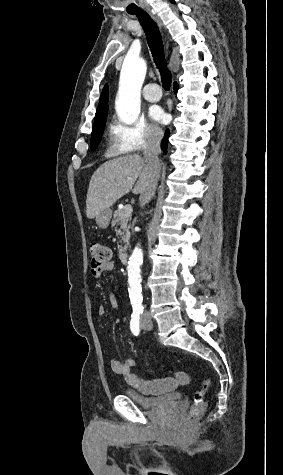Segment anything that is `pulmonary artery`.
Listing matches in <instances>:
<instances>
[{
    "label": "pulmonary artery",
    "mask_w": 283,
    "mask_h": 475,
    "mask_svg": "<svg viewBox=\"0 0 283 475\" xmlns=\"http://www.w3.org/2000/svg\"><path fill=\"white\" fill-rule=\"evenodd\" d=\"M120 90H141V89H120ZM161 88L159 87L158 84L156 83H151L147 85V87L144 90L145 93V99L149 102H157L160 100L161 95Z\"/></svg>",
    "instance_id": "pulmonary-artery-1"
}]
</instances>
